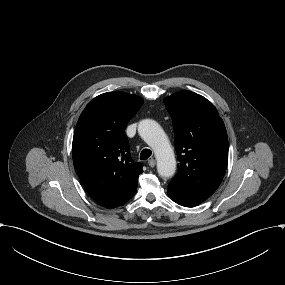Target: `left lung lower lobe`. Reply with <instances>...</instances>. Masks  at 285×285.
<instances>
[{
    "label": "left lung lower lobe",
    "mask_w": 285,
    "mask_h": 285,
    "mask_svg": "<svg viewBox=\"0 0 285 285\" xmlns=\"http://www.w3.org/2000/svg\"><path fill=\"white\" fill-rule=\"evenodd\" d=\"M167 193L171 200L185 207H194L201 203L200 201H197V200H194V199H191L189 197L182 195L175 189L170 188L169 186H168Z\"/></svg>",
    "instance_id": "0a47b994"
}]
</instances>
